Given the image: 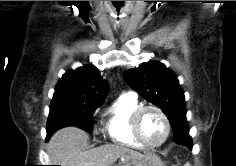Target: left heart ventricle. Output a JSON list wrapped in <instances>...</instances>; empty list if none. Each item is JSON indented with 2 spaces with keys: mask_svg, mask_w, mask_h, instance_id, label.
<instances>
[{
  "mask_svg": "<svg viewBox=\"0 0 236 166\" xmlns=\"http://www.w3.org/2000/svg\"><path fill=\"white\" fill-rule=\"evenodd\" d=\"M140 132L147 143H158L165 133L163 119L153 110L146 111L140 121Z\"/></svg>",
  "mask_w": 236,
  "mask_h": 166,
  "instance_id": "obj_1",
  "label": "left heart ventricle"
}]
</instances>
